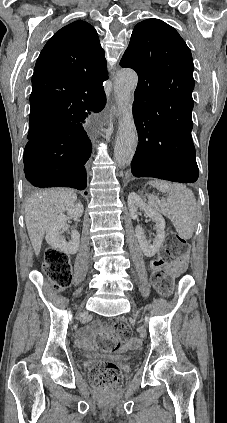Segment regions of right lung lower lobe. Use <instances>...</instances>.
<instances>
[{"mask_svg": "<svg viewBox=\"0 0 227 423\" xmlns=\"http://www.w3.org/2000/svg\"><path fill=\"white\" fill-rule=\"evenodd\" d=\"M105 102L83 99L31 105L30 121L62 119L69 123L43 140L26 144L24 172L33 186L86 188V163L92 146L85 129L90 115L101 111Z\"/></svg>", "mask_w": 227, "mask_h": 423, "instance_id": "98d812e1", "label": "right lung lower lobe"}]
</instances>
